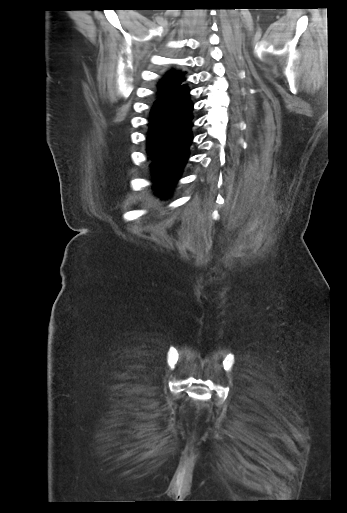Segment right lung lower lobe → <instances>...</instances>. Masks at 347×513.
Segmentation results:
<instances>
[{
  "label": "right lung lower lobe",
  "mask_w": 347,
  "mask_h": 513,
  "mask_svg": "<svg viewBox=\"0 0 347 513\" xmlns=\"http://www.w3.org/2000/svg\"><path fill=\"white\" fill-rule=\"evenodd\" d=\"M192 110L193 103L186 85L166 95H158L151 109L147 150L157 193L171 191L188 159L192 141Z\"/></svg>",
  "instance_id": "obj_1"
}]
</instances>
